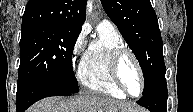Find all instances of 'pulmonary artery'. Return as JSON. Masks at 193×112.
Returning a JSON list of instances; mask_svg holds the SVG:
<instances>
[{
    "label": "pulmonary artery",
    "instance_id": "obj_1",
    "mask_svg": "<svg viewBox=\"0 0 193 112\" xmlns=\"http://www.w3.org/2000/svg\"><path fill=\"white\" fill-rule=\"evenodd\" d=\"M100 26L115 28L114 24L109 19H103Z\"/></svg>",
    "mask_w": 193,
    "mask_h": 112
}]
</instances>
